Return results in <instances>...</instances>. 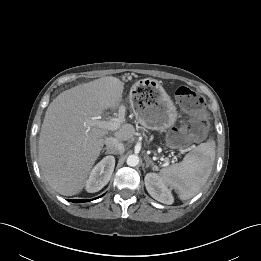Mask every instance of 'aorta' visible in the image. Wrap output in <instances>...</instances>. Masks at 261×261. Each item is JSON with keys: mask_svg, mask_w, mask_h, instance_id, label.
Returning a JSON list of instances; mask_svg holds the SVG:
<instances>
[{"mask_svg": "<svg viewBox=\"0 0 261 261\" xmlns=\"http://www.w3.org/2000/svg\"><path fill=\"white\" fill-rule=\"evenodd\" d=\"M128 166L135 167L139 164V157L137 155H129L126 161Z\"/></svg>", "mask_w": 261, "mask_h": 261, "instance_id": "762f6f07", "label": "aorta"}]
</instances>
